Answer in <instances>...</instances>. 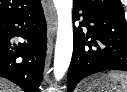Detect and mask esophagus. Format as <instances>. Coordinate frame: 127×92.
<instances>
[{
  "instance_id": "obj_1",
  "label": "esophagus",
  "mask_w": 127,
  "mask_h": 92,
  "mask_svg": "<svg viewBox=\"0 0 127 92\" xmlns=\"http://www.w3.org/2000/svg\"><path fill=\"white\" fill-rule=\"evenodd\" d=\"M48 7V38L54 37L57 30V14L51 0H47Z\"/></svg>"
}]
</instances>
